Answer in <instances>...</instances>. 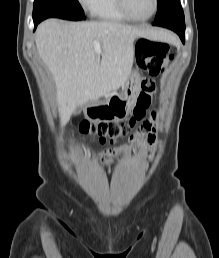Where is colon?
Listing matches in <instances>:
<instances>
[{
	"instance_id": "1",
	"label": "colon",
	"mask_w": 219,
	"mask_h": 258,
	"mask_svg": "<svg viewBox=\"0 0 219 258\" xmlns=\"http://www.w3.org/2000/svg\"><path fill=\"white\" fill-rule=\"evenodd\" d=\"M139 65L148 71L151 76H157L164 71L173 59L169 46L166 43L149 39H140L137 44ZM156 92V83L153 79H146L141 84V91L137 98L133 117L128 123L101 122L90 123L83 121L79 130L84 135H90L101 144H114L119 138L126 135L135 123L146 115Z\"/></svg>"
}]
</instances>
